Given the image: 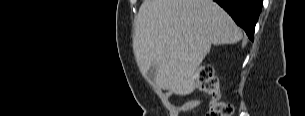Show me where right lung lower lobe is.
<instances>
[{
  "mask_svg": "<svg viewBox=\"0 0 305 116\" xmlns=\"http://www.w3.org/2000/svg\"><path fill=\"white\" fill-rule=\"evenodd\" d=\"M244 29L253 41L254 29L262 9V0H214Z\"/></svg>",
  "mask_w": 305,
  "mask_h": 116,
  "instance_id": "98d812e1",
  "label": "right lung lower lobe"
}]
</instances>
